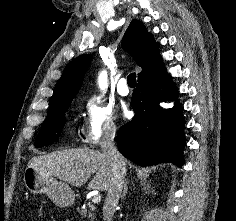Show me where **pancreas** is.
<instances>
[{
    "mask_svg": "<svg viewBox=\"0 0 236 221\" xmlns=\"http://www.w3.org/2000/svg\"><path fill=\"white\" fill-rule=\"evenodd\" d=\"M77 212L80 214L82 221L84 218L89 219V221L96 219V208L93 205H89V210L77 208Z\"/></svg>",
    "mask_w": 236,
    "mask_h": 221,
    "instance_id": "obj_1",
    "label": "pancreas"
}]
</instances>
